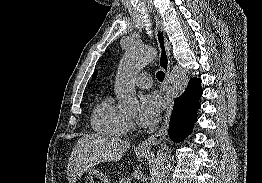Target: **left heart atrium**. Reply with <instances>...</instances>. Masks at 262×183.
<instances>
[{
  "label": "left heart atrium",
  "instance_id": "1",
  "mask_svg": "<svg viewBox=\"0 0 262 183\" xmlns=\"http://www.w3.org/2000/svg\"><path fill=\"white\" fill-rule=\"evenodd\" d=\"M162 104L156 94H144L140 98V109L137 116L139 125L145 128L153 127L159 121Z\"/></svg>",
  "mask_w": 262,
  "mask_h": 183
}]
</instances>
